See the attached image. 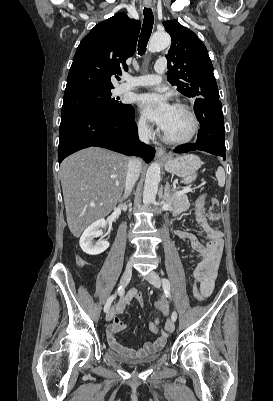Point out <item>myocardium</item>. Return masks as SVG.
<instances>
[{"instance_id": "obj_1", "label": "myocardium", "mask_w": 273, "mask_h": 401, "mask_svg": "<svg viewBox=\"0 0 273 401\" xmlns=\"http://www.w3.org/2000/svg\"><path fill=\"white\" fill-rule=\"evenodd\" d=\"M174 108H177L181 111H183L184 113H186L191 121H192V131L191 133L184 137V138H175V137H171L169 136L164 130H163V139L164 141H166L169 144H186L190 141H192L197 134L199 133L200 130V120L199 117L197 116V114L187 105L182 104V103H177L174 105Z\"/></svg>"}]
</instances>
